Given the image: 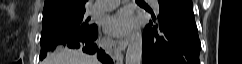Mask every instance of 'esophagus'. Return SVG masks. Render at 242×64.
<instances>
[{"label": "esophagus", "instance_id": "1", "mask_svg": "<svg viewBox=\"0 0 242 64\" xmlns=\"http://www.w3.org/2000/svg\"><path fill=\"white\" fill-rule=\"evenodd\" d=\"M130 38H131V36H130V34H129L125 39L120 40V41L118 42V46H119L120 50L124 51V50L126 49L128 43H129V41H130Z\"/></svg>", "mask_w": 242, "mask_h": 64}]
</instances>
